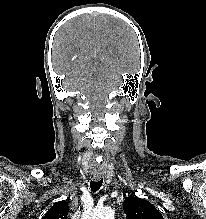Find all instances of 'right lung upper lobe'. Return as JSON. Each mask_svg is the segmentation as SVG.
I'll return each instance as SVG.
<instances>
[{"instance_id":"obj_1","label":"right lung upper lobe","mask_w":206,"mask_h":219,"mask_svg":"<svg viewBox=\"0 0 206 219\" xmlns=\"http://www.w3.org/2000/svg\"><path fill=\"white\" fill-rule=\"evenodd\" d=\"M69 207L66 201L55 203L42 219H67Z\"/></svg>"}]
</instances>
